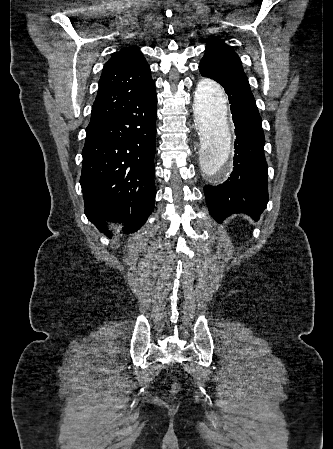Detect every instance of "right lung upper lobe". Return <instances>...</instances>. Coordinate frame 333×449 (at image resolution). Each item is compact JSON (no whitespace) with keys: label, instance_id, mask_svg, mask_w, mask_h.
Returning a JSON list of instances; mask_svg holds the SVG:
<instances>
[{"label":"right lung upper lobe","instance_id":"obj_1","mask_svg":"<svg viewBox=\"0 0 333 449\" xmlns=\"http://www.w3.org/2000/svg\"><path fill=\"white\" fill-rule=\"evenodd\" d=\"M154 87L150 66L139 48L128 46L121 49L104 65L91 120L123 108Z\"/></svg>","mask_w":333,"mask_h":449}]
</instances>
